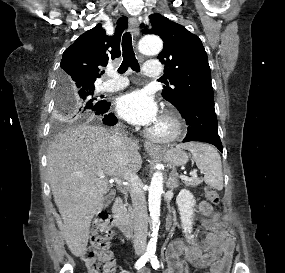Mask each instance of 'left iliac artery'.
Listing matches in <instances>:
<instances>
[{"mask_svg":"<svg viewBox=\"0 0 285 273\" xmlns=\"http://www.w3.org/2000/svg\"><path fill=\"white\" fill-rule=\"evenodd\" d=\"M150 263L154 269H158L160 267L157 256L154 254L150 256Z\"/></svg>","mask_w":285,"mask_h":273,"instance_id":"left-iliac-artery-1","label":"left iliac artery"}]
</instances>
